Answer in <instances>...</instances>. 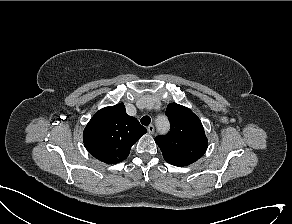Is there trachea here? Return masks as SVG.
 Listing matches in <instances>:
<instances>
[{"instance_id": "3493384b", "label": "trachea", "mask_w": 292, "mask_h": 224, "mask_svg": "<svg viewBox=\"0 0 292 224\" xmlns=\"http://www.w3.org/2000/svg\"><path fill=\"white\" fill-rule=\"evenodd\" d=\"M151 122V118L149 116H144L141 118V123L145 126H148Z\"/></svg>"}]
</instances>
